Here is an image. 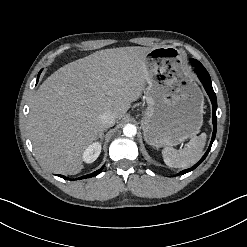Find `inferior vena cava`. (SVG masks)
Segmentation results:
<instances>
[{
  "label": "inferior vena cava",
  "instance_id": "602c4592",
  "mask_svg": "<svg viewBox=\"0 0 247 247\" xmlns=\"http://www.w3.org/2000/svg\"><path fill=\"white\" fill-rule=\"evenodd\" d=\"M115 115L111 112H103L99 115L100 127L102 129L112 127L115 124Z\"/></svg>",
  "mask_w": 247,
  "mask_h": 247
}]
</instances>
